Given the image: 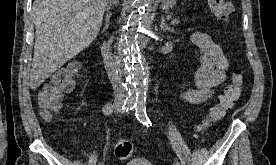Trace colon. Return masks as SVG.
I'll return each mask as SVG.
<instances>
[{"instance_id": "obj_1", "label": "colon", "mask_w": 276, "mask_h": 165, "mask_svg": "<svg viewBox=\"0 0 276 165\" xmlns=\"http://www.w3.org/2000/svg\"><path fill=\"white\" fill-rule=\"evenodd\" d=\"M210 10L224 23L230 21L233 6L226 0H208ZM77 67L70 66L55 72L45 82L38 93V104L43 117L50 120L61 109V100L64 92L71 89ZM243 75L240 70H234L231 82L218 96L216 104L210 109L206 118L197 126V133L205 132L212 124L221 120L239 100L243 87ZM134 152V147L129 140H120L116 145V156L121 160L129 159Z\"/></svg>"}]
</instances>
